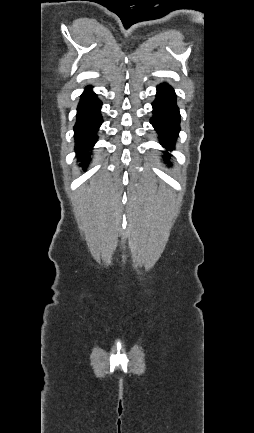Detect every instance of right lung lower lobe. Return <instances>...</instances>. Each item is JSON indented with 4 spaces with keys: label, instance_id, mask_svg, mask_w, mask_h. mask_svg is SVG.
Returning <instances> with one entry per match:
<instances>
[{
    "label": "right lung lower lobe",
    "instance_id": "1",
    "mask_svg": "<svg viewBox=\"0 0 254 433\" xmlns=\"http://www.w3.org/2000/svg\"><path fill=\"white\" fill-rule=\"evenodd\" d=\"M101 106L102 103L96 98L90 87H87L77 108V122L74 127L76 153L78 159L85 165L90 160L89 149L95 144L96 132L102 123Z\"/></svg>",
    "mask_w": 254,
    "mask_h": 433
}]
</instances>
